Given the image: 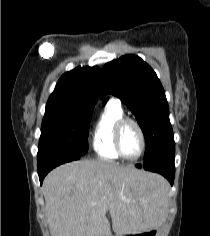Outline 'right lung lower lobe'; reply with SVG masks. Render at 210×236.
<instances>
[{
    "instance_id": "1",
    "label": "right lung lower lobe",
    "mask_w": 210,
    "mask_h": 236,
    "mask_svg": "<svg viewBox=\"0 0 210 236\" xmlns=\"http://www.w3.org/2000/svg\"><path fill=\"white\" fill-rule=\"evenodd\" d=\"M80 158L81 156L78 155L59 152H50L44 155H37L40 183L42 184V181L47 173L56 166L73 160H78Z\"/></svg>"
}]
</instances>
